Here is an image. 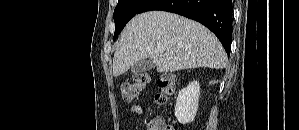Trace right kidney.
Instances as JSON below:
<instances>
[{"instance_id":"obj_1","label":"right kidney","mask_w":299,"mask_h":130,"mask_svg":"<svg viewBox=\"0 0 299 130\" xmlns=\"http://www.w3.org/2000/svg\"><path fill=\"white\" fill-rule=\"evenodd\" d=\"M200 96L199 82L193 81L179 91L175 105V116L181 124L193 122Z\"/></svg>"}]
</instances>
